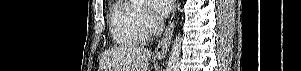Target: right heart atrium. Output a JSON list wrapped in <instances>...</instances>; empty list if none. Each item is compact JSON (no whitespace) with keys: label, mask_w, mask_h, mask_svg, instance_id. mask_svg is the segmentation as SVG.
I'll return each instance as SVG.
<instances>
[{"label":"right heart atrium","mask_w":301,"mask_h":71,"mask_svg":"<svg viewBox=\"0 0 301 71\" xmlns=\"http://www.w3.org/2000/svg\"><path fill=\"white\" fill-rule=\"evenodd\" d=\"M141 22L148 33H153L157 28V22L148 12L141 14Z\"/></svg>","instance_id":"d8ad5b80"}]
</instances>
